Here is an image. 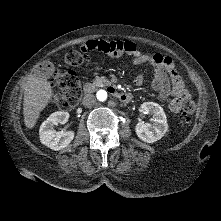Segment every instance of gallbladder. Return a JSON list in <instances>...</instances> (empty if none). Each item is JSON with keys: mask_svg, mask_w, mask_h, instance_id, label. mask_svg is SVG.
I'll return each mask as SVG.
<instances>
[{"mask_svg": "<svg viewBox=\"0 0 221 221\" xmlns=\"http://www.w3.org/2000/svg\"><path fill=\"white\" fill-rule=\"evenodd\" d=\"M50 65H51V67H53L52 64H50ZM51 67L40 68L39 70H37L35 72V76L39 79H48V78H50L53 74V69Z\"/></svg>", "mask_w": 221, "mask_h": 221, "instance_id": "obj_1", "label": "gallbladder"}]
</instances>
